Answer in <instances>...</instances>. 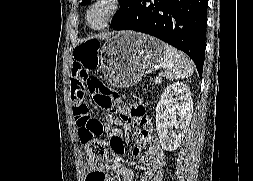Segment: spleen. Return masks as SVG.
<instances>
[{"mask_svg":"<svg viewBox=\"0 0 253 181\" xmlns=\"http://www.w3.org/2000/svg\"><path fill=\"white\" fill-rule=\"evenodd\" d=\"M163 48L164 62L162 67L167 79H183L193 74L194 64L184 53L166 43H163Z\"/></svg>","mask_w":253,"mask_h":181,"instance_id":"1","label":"spleen"}]
</instances>
